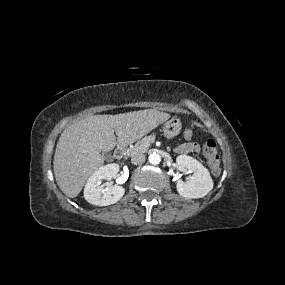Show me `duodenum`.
Returning <instances> with one entry per match:
<instances>
[{"instance_id":"obj_1","label":"duodenum","mask_w":285,"mask_h":285,"mask_svg":"<svg viewBox=\"0 0 285 285\" xmlns=\"http://www.w3.org/2000/svg\"><path fill=\"white\" fill-rule=\"evenodd\" d=\"M125 151L126 150H125V148L123 146L117 147L116 150H115V157L117 159H121L124 156Z\"/></svg>"}]
</instances>
